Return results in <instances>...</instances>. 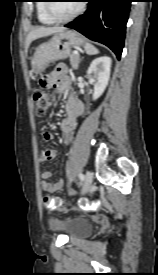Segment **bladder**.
Returning a JSON list of instances; mask_svg holds the SVG:
<instances>
[{
  "instance_id": "31cf9c89",
  "label": "bladder",
  "mask_w": 158,
  "mask_h": 275,
  "mask_svg": "<svg viewBox=\"0 0 158 275\" xmlns=\"http://www.w3.org/2000/svg\"><path fill=\"white\" fill-rule=\"evenodd\" d=\"M49 228L52 231L65 233L70 239L81 238L90 233L91 223L82 217L59 219L50 217L48 219Z\"/></svg>"
}]
</instances>
